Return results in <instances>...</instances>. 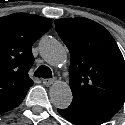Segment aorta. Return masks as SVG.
Wrapping results in <instances>:
<instances>
[{"label": "aorta", "instance_id": "obj_1", "mask_svg": "<svg viewBox=\"0 0 125 125\" xmlns=\"http://www.w3.org/2000/svg\"><path fill=\"white\" fill-rule=\"evenodd\" d=\"M40 54L51 66L63 65L67 60V52L64 46L50 37L41 40ZM49 95L52 104L59 109L67 108L73 98L70 86L63 82H55L50 88Z\"/></svg>", "mask_w": 125, "mask_h": 125}]
</instances>
